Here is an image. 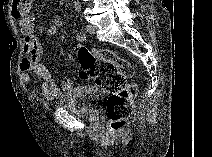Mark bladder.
Returning <instances> with one entry per match:
<instances>
[{
	"instance_id": "obj_1",
	"label": "bladder",
	"mask_w": 212,
	"mask_h": 157,
	"mask_svg": "<svg viewBox=\"0 0 212 157\" xmlns=\"http://www.w3.org/2000/svg\"><path fill=\"white\" fill-rule=\"evenodd\" d=\"M105 93L94 86H77L59 98L56 106L80 114L85 119L94 121L99 118L98 104Z\"/></svg>"
}]
</instances>
